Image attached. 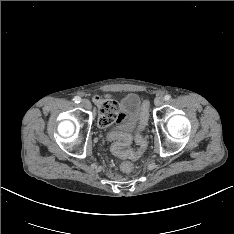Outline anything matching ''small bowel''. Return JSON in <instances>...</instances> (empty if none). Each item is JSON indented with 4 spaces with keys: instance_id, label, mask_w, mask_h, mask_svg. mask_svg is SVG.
Wrapping results in <instances>:
<instances>
[{
    "instance_id": "c3829d8e",
    "label": "small bowel",
    "mask_w": 234,
    "mask_h": 234,
    "mask_svg": "<svg viewBox=\"0 0 234 234\" xmlns=\"http://www.w3.org/2000/svg\"><path fill=\"white\" fill-rule=\"evenodd\" d=\"M138 102L139 99L137 97H133L126 104L125 110L129 112L127 119L132 121L135 117V113L138 111Z\"/></svg>"
}]
</instances>
